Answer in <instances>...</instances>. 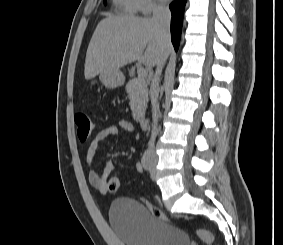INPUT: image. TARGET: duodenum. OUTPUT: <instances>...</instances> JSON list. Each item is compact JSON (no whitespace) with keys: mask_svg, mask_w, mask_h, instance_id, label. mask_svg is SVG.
<instances>
[{"mask_svg":"<svg viewBox=\"0 0 283 245\" xmlns=\"http://www.w3.org/2000/svg\"><path fill=\"white\" fill-rule=\"evenodd\" d=\"M138 121H139L140 127L142 129L145 130V129H147L149 127V120H148V118L140 117Z\"/></svg>","mask_w":283,"mask_h":245,"instance_id":"410a0bca","label":"duodenum"}]
</instances>
